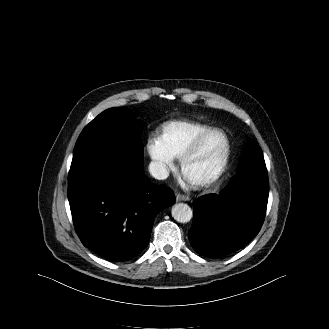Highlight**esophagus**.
Instances as JSON below:
<instances>
[{
  "instance_id": "1",
  "label": "esophagus",
  "mask_w": 329,
  "mask_h": 329,
  "mask_svg": "<svg viewBox=\"0 0 329 329\" xmlns=\"http://www.w3.org/2000/svg\"><path fill=\"white\" fill-rule=\"evenodd\" d=\"M176 200L177 201H188V200H190V198L186 195L177 194L176 195Z\"/></svg>"
}]
</instances>
